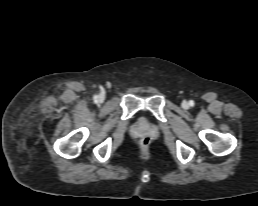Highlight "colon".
Segmentation results:
<instances>
[{
    "mask_svg": "<svg viewBox=\"0 0 258 206\" xmlns=\"http://www.w3.org/2000/svg\"><path fill=\"white\" fill-rule=\"evenodd\" d=\"M140 143L143 148H146L150 144V139L148 137H144L141 139Z\"/></svg>",
    "mask_w": 258,
    "mask_h": 206,
    "instance_id": "1",
    "label": "colon"
}]
</instances>
